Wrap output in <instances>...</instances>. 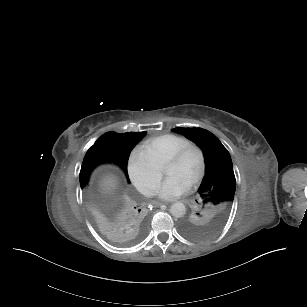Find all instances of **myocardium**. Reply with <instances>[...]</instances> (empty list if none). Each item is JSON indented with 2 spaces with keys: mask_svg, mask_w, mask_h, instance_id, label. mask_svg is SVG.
I'll list each match as a JSON object with an SVG mask.
<instances>
[{
  "mask_svg": "<svg viewBox=\"0 0 307 307\" xmlns=\"http://www.w3.org/2000/svg\"><path fill=\"white\" fill-rule=\"evenodd\" d=\"M194 148H198L201 152V156H202V164H201V169L200 171L190 180L189 185H195L197 184L199 181H201L206 172H207V168H208V155L206 152V149L204 148V146L201 143H198L196 141H191L190 143L184 145L183 147H181L180 149H178L176 152H174L173 154L169 155L166 157L165 162H179L181 161L186 155L187 153L194 149Z\"/></svg>",
  "mask_w": 307,
  "mask_h": 307,
  "instance_id": "f54148a6",
  "label": "myocardium"
}]
</instances>
